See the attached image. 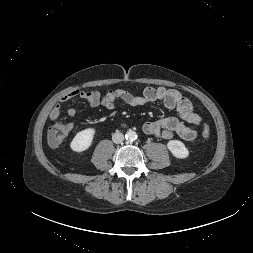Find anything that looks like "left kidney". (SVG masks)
<instances>
[{
    "mask_svg": "<svg viewBox=\"0 0 253 253\" xmlns=\"http://www.w3.org/2000/svg\"><path fill=\"white\" fill-rule=\"evenodd\" d=\"M167 148L176 158L182 159L189 156V151L185 144L179 140H171L167 143Z\"/></svg>",
    "mask_w": 253,
    "mask_h": 253,
    "instance_id": "obj_1",
    "label": "left kidney"
}]
</instances>
